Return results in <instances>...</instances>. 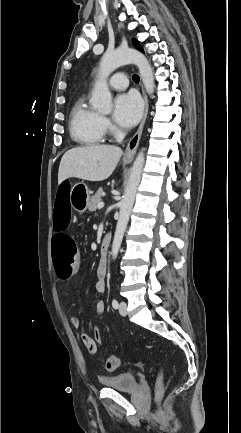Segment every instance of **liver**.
<instances>
[{"label":"liver","mask_w":241,"mask_h":433,"mask_svg":"<svg viewBox=\"0 0 241 433\" xmlns=\"http://www.w3.org/2000/svg\"><path fill=\"white\" fill-rule=\"evenodd\" d=\"M123 152L110 145H92L68 150L62 157L58 183L75 177L87 181H103L116 168Z\"/></svg>","instance_id":"obj_1"}]
</instances>
